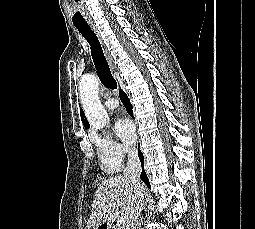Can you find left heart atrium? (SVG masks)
Listing matches in <instances>:
<instances>
[{"label":"left heart atrium","instance_id":"1","mask_svg":"<svg viewBox=\"0 0 255 229\" xmlns=\"http://www.w3.org/2000/svg\"><path fill=\"white\" fill-rule=\"evenodd\" d=\"M116 135L126 144H132L136 138L135 127L127 118H119L114 125Z\"/></svg>","mask_w":255,"mask_h":229}]
</instances>
